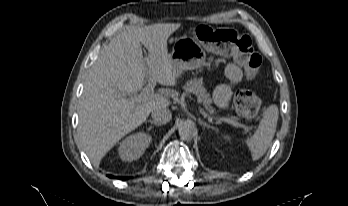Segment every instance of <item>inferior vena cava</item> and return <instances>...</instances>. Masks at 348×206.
Instances as JSON below:
<instances>
[{"mask_svg": "<svg viewBox=\"0 0 348 206\" xmlns=\"http://www.w3.org/2000/svg\"><path fill=\"white\" fill-rule=\"evenodd\" d=\"M154 121L159 124H165L172 119V113L167 108L158 107L152 111L151 114Z\"/></svg>", "mask_w": 348, "mask_h": 206, "instance_id": "1", "label": "inferior vena cava"}]
</instances>
